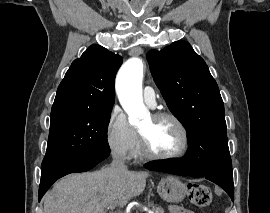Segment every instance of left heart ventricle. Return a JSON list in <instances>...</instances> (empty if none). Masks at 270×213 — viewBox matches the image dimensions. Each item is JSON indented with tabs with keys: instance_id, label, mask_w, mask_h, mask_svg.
I'll return each instance as SVG.
<instances>
[{
	"instance_id": "left-heart-ventricle-1",
	"label": "left heart ventricle",
	"mask_w": 270,
	"mask_h": 213,
	"mask_svg": "<svg viewBox=\"0 0 270 213\" xmlns=\"http://www.w3.org/2000/svg\"><path fill=\"white\" fill-rule=\"evenodd\" d=\"M150 149L156 154H171L182 146V134L177 125L168 118L153 120L150 116L140 127Z\"/></svg>"
}]
</instances>
